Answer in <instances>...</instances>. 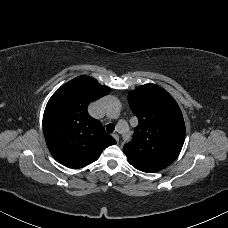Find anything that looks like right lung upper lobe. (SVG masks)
<instances>
[{"mask_svg": "<svg viewBox=\"0 0 228 228\" xmlns=\"http://www.w3.org/2000/svg\"><path fill=\"white\" fill-rule=\"evenodd\" d=\"M110 91L96 79L82 75L61 86L49 99L43 116L44 136L49 151L64 166L84 167L116 144L87 111L92 101Z\"/></svg>", "mask_w": 228, "mask_h": 228, "instance_id": "right-lung-upper-lobe-1", "label": "right lung upper lobe"}]
</instances>
